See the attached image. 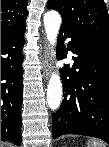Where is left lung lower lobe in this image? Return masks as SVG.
Listing matches in <instances>:
<instances>
[{
  "instance_id": "1",
  "label": "left lung lower lobe",
  "mask_w": 109,
  "mask_h": 147,
  "mask_svg": "<svg viewBox=\"0 0 109 147\" xmlns=\"http://www.w3.org/2000/svg\"><path fill=\"white\" fill-rule=\"evenodd\" d=\"M67 37L71 41L66 50L76 56L69 78L67 70H61L64 99L52 117V136L86 135L109 144V45L61 25L59 59L65 58L59 46Z\"/></svg>"
}]
</instances>
